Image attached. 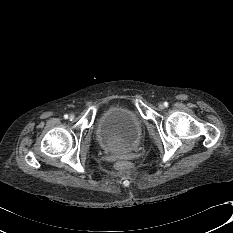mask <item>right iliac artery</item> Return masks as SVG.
<instances>
[{"instance_id": "1", "label": "right iliac artery", "mask_w": 233, "mask_h": 233, "mask_svg": "<svg viewBox=\"0 0 233 233\" xmlns=\"http://www.w3.org/2000/svg\"><path fill=\"white\" fill-rule=\"evenodd\" d=\"M64 118H65V119H68V115H67V114H65V115H64Z\"/></svg>"}]
</instances>
